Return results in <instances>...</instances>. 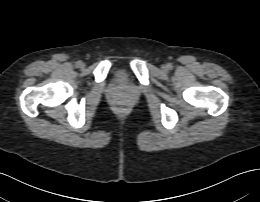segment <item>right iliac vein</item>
I'll use <instances>...</instances> for the list:
<instances>
[{
    "label": "right iliac vein",
    "instance_id": "1",
    "mask_svg": "<svg viewBox=\"0 0 260 202\" xmlns=\"http://www.w3.org/2000/svg\"><path fill=\"white\" fill-rule=\"evenodd\" d=\"M80 67H81V68H84V67H85V64L81 62Z\"/></svg>",
    "mask_w": 260,
    "mask_h": 202
}]
</instances>
